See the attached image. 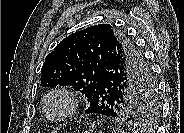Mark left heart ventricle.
I'll return each instance as SVG.
<instances>
[{
  "label": "left heart ventricle",
  "instance_id": "left-heart-ventricle-1",
  "mask_svg": "<svg viewBox=\"0 0 184 133\" xmlns=\"http://www.w3.org/2000/svg\"><path fill=\"white\" fill-rule=\"evenodd\" d=\"M64 108V102L60 98H56L52 100L48 106V111L50 115H57L59 114Z\"/></svg>",
  "mask_w": 184,
  "mask_h": 133
}]
</instances>
